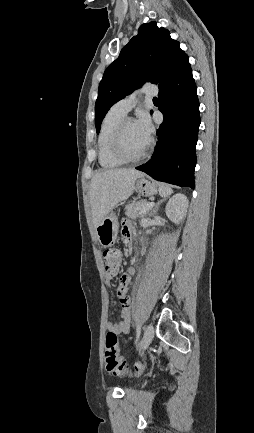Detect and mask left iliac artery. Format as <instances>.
Segmentation results:
<instances>
[{"label":"left iliac artery","mask_w":254,"mask_h":433,"mask_svg":"<svg viewBox=\"0 0 254 433\" xmlns=\"http://www.w3.org/2000/svg\"><path fill=\"white\" fill-rule=\"evenodd\" d=\"M140 333H141L140 325H137V328H136V339H135V342L138 341V338H139V336H140Z\"/></svg>","instance_id":"obj_1"}]
</instances>
